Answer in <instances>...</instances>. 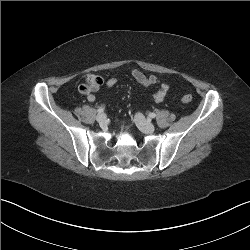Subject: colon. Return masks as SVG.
Here are the masks:
<instances>
[{"instance_id": "5ec220e1", "label": "colon", "mask_w": 250, "mask_h": 250, "mask_svg": "<svg viewBox=\"0 0 250 250\" xmlns=\"http://www.w3.org/2000/svg\"><path fill=\"white\" fill-rule=\"evenodd\" d=\"M102 80L100 77L96 76V75H89L87 78H86V81L84 84L80 85L79 87V90L81 92H84L88 89H91L93 87H96V86H99L101 84ZM193 99L192 95L190 94H186L184 95L182 98H181V101L183 103H189L191 102Z\"/></svg>"}]
</instances>
